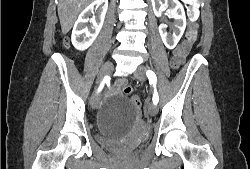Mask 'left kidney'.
Segmentation results:
<instances>
[{
    "label": "left kidney",
    "instance_id": "obj_1",
    "mask_svg": "<svg viewBox=\"0 0 250 169\" xmlns=\"http://www.w3.org/2000/svg\"><path fill=\"white\" fill-rule=\"evenodd\" d=\"M152 6L156 16H161L163 10H166V8L170 6V8H168V12L170 16L174 18L177 30L174 34L169 36L166 32L167 24H160L159 32L165 46H167V48H174L186 28L185 10L181 2H179V0H165V2H163V0H152Z\"/></svg>",
    "mask_w": 250,
    "mask_h": 169
}]
</instances>
